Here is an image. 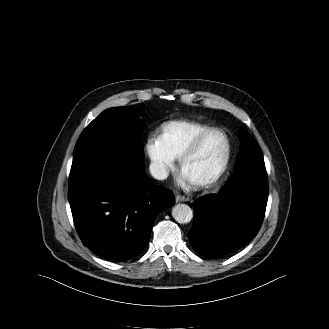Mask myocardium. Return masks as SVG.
<instances>
[{
  "mask_svg": "<svg viewBox=\"0 0 329 329\" xmlns=\"http://www.w3.org/2000/svg\"><path fill=\"white\" fill-rule=\"evenodd\" d=\"M213 133H221L225 137V140H226L225 155H224V158H223V161H222L220 167L215 172V174H213L211 177H209L208 179H206L204 181L193 183L194 186L197 188L211 187L212 185L217 183L220 180V178L224 175V173L226 172V170L229 166L230 160H231V156H232V142H231L229 135L221 128H210V129L204 131L203 133L199 134L191 142V144L186 148V150L181 154V156L179 158V168H180V171L182 172L186 162L197 153L201 143L209 135H211Z\"/></svg>",
  "mask_w": 329,
  "mask_h": 329,
  "instance_id": "obj_1",
  "label": "myocardium"
}]
</instances>
